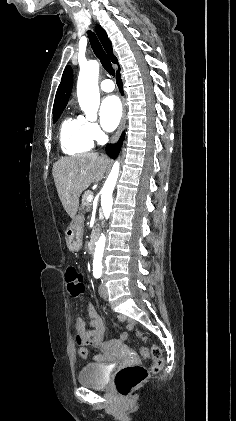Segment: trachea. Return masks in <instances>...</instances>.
Here are the masks:
<instances>
[{"label": "trachea", "instance_id": "obj_1", "mask_svg": "<svg viewBox=\"0 0 236 421\" xmlns=\"http://www.w3.org/2000/svg\"><path fill=\"white\" fill-rule=\"evenodd\" d=\"M88 38L89 42L91 44V48L96 55L97 58H99L100 62L102 63V66L106 72L110 73V75H115V70L112 67V64L110 62V59L106 52L103 50L101 43L99 42L97 36L92 32L88 31Z\"/></svg>", "mask_w": 236, "mask_h": 421}]
</instances>
